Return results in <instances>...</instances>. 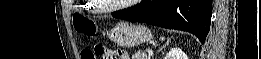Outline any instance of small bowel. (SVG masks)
Masks as SVG:
<instances>
[{
  "instance_id": "c3829d8e",
  "label": "small bowel",
  "mask_w": 261,
  "mask_h": 59,
  "mask_svg": "<svg viewBox=\"0 0 261 59\" xmlns=\"http://www.w3.org/2000/svg\"><path fill=\"white\" fill-rule=\"evenodd\" d=\"M118 53H121L117 58H120V59H129L128 55L126 52L122 51V50H118L117 51Z\"/></svg>"
}]
</instances>
